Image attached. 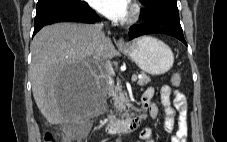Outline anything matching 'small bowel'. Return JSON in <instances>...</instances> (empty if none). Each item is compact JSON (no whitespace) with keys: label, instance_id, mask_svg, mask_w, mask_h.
<instances>
[{"label":"small bowel","instance_id":"small-bowel-1","mask_svg":"<svg viewBox=\"0 0 227 142\" xmlns=\"http://www.w3.org/2000/svg\"><path fill=\"white\" fill-rule=\"evenodd\" d=\"M171 88L163 86L160 91L161 103L164 107L163 126L166 132L171 133L174 129L175 114L178 112L177 130L171 138V142H187L188 122H187V104L183 94L178 91L174 92V107L171 106ZM154 89L147 88L142 95V105L145 110H148L151 117L156 119L158 117V107L152 101L154 96ZM140 137L143 142H153L152 131L145 128L141 131ZM140 142V141H137Z\"/></svg>","mask_w":227,"mask_h":142}]
</instances>
